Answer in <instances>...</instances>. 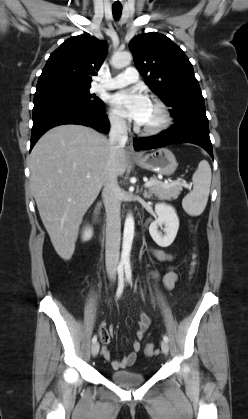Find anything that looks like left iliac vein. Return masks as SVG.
Here are the masks:
<instances>
[{"label": "left iliac vein", "instance_id": "4c4485c4", "mask_svg": "<svg viewBox=\"0 0 248 419\" xmlns=\"http://www.w3.org/2000/svg\"><path fill=\"white\" fill-rule=\"evenodd\" d=\"M160 345H161L162 352L165 355H167L168 352H169V345H168V343L165 340H163V341H161Z\"/></svg>", "mask_w": 248, "mask_h": 419}]
</instances>
